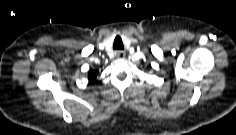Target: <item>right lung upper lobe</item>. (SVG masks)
<instances>
[{"mask_svg": "<svg viewBox=\"0 0 236 135\" xmlns=\"http://www.w3.org/2000/svg\"><path fill=\"white\" fill-rule=\"evenodd\" d=\"M97 75H98L97 70L90 69L89 72H88V78L91 81H93L96 78Z\"/></svg>", "mask_w": 236, "mask_h": 135, "instance_id": "1", "label": "right lung upper lobe"}]
</instances>
